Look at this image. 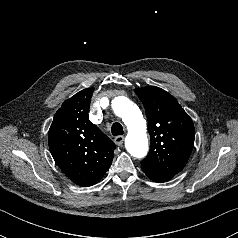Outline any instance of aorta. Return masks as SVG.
I'll return each instance as SVG.
<instances>
[{
	"instance_id": "obj_1",
	"label": "aorta",
	"mask_w": 238,
	"mask_h": 238,
	"mask_svg": "<svg viewBox=\"0 0 238 238\" xmlns=\"http://www.w3.org/2000/svg\"><path fill=\"white\" fill-rule=\"evenodd\" d=\"M114 113L122 118L128 128L125 140L127 151L136 158H143L148 151L146 121L140 109L127 97L118 96L112 101Z\"/></svg>"
}]
</instances>
